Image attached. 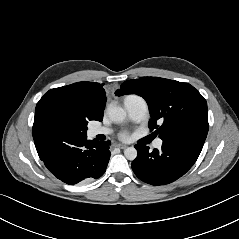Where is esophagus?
<instances>
[{"instance_id": "obj_1", "label": "esophagus", "mask_w": 239, "mask_h": 239, "mask_svg": "<svg viewBox=\"0 0 239 239\" xmlns=\"http://www.w3.org/2000/svg\"><path fill=\"white\" fill-rule=\"evenodd\" d=\"M115 146L118 147V148H120V149H125V148H127V146L124 145V144H116Z\"/></svg>"}]
</instances>
